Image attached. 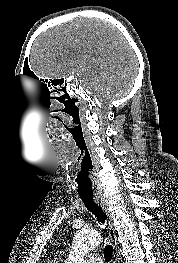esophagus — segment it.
Returning a JSON list of instances; mask_svg holds the SVG:
<instances>
[{
  "mask_svg": "<svg viewBox=\"0 0 178 263\" xmlns=\"http://www.w3.org/2000/svg\"><path fill=\"white\" fill-rule=\"evenodd\" d=\"M95 201L101 206V208L104 210V212L106 213L107 215V218H108V228H109V233H110V238H111V242L114 246V248L116 249L117 247V243H116V232H115V229H114V226H113V221H112V216L109 212V209H108V203L105 199L104 196H95ZM118 254H117V251L115 253H113V262L112 263H117L118 261Z\"/></svg>",
  "mask_w": 178,
  "mask_h": 263,
  "instance_id": "1",
  "label": "esophagus"
}]
</instances>
